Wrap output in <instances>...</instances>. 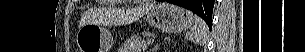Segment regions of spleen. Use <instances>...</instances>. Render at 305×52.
Returning a JSON list of instances; mask_svg holds the SVG:
<instances>
[{
    "instance_id": "obj_1",
    "label": "spleen",
    "mask_w": 305,
    "mask_h": 52,
    "mask_svg": "<svg viewBox=\"0 0 305 52\" xmlns=\"http://www.w3.org/2000/svg\"><path fill=\"white\" fill-rule=\"evenodd\" d=\"M208 27L206 23L197 15H195V25L186 33V39L198 44H204L208 38Z\"/></svg>"
}]
</instances>
